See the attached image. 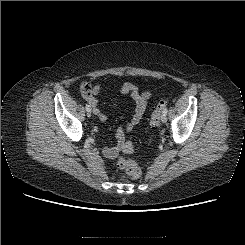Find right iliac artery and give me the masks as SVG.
Segmentation results:
<instances>
[{"label": "right iliac artery", "instance_id": "obj_1", "mask_svg": "<svg viewBox=\"0 0 245 245\" xmlns=\"http://www.w3.org/2000/svg\"><path fill=\"white\" fill-rule=\"evenodd\" d=\"M86 110L87 111L91 110L90 105L86 104Z\"/></svg>", "mask_w": 245, "mask_h": 245}]
</instances>
